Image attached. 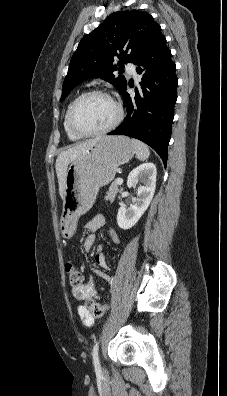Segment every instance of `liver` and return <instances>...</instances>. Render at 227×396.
Listing matches in <instances>:
<instances>
[{
  "instance_id": "1",
  "label": "liver",
  "mask_w": 227,
  "mask_h": 396,
  "mask_svg": "<svg viewBox=\"0 0 227 396\" xmlns=\"http://www.w3.org/2000/svg\"><path fill=\"white\" fill-rule=\"evenodd\" d=\"M100 139L101 137L87 140L86 142L80 144H76L75 146L61 152L58 155L55 167L59 183V194L62 199L64 198L65 178L68 165L76 158H78L81 154H83L86 150H88L91 146H93L96 142H98Z\"/></svg>"
}]
</instances>
